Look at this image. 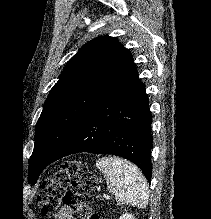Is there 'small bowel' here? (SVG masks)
Listing matches in <instances>:
<instances>
[{
	"label": "small bowel",
	"instance_id": "1",
	"mask_svg": "<svg viewBox=\"0 0 211 219\" xmlns=\"http://www.w3.org/2000/svg\"><path fill=\"white\" fill-rule=\"evenodd\" d=\"M56 219H73L71 210L69 208L61 209L56 215Z\"/></svg>",
	"mask_w": 211,
	"mask_h": 219
}]
</instances>
